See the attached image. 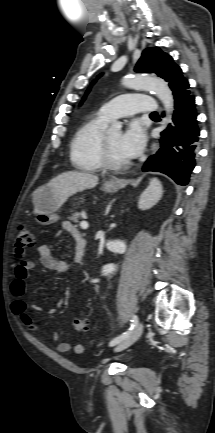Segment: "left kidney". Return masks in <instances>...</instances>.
Returning a JSON list of instances; mask_svg holds the SVG:
<instances>
[{
    "label": "left kidney",
    "instance_id": "obj_1",
    "mask_svg": "<svg viewBox=\"0 0 215 433\" xmlns=\"http://www.w3.org/2000/svg\"><path fill=\"white\" fill-rule=\"evenodd\" d=\"M107 249L113 253H119L123 254L126 251V243L121 240H113L108 241L106 243ZM116 271V265L115 264H107L102 267V276H109L110 274H113Z\"/></svg>",
    "mask_w": 215,
    "mask_h": 433
}]
</instances>
